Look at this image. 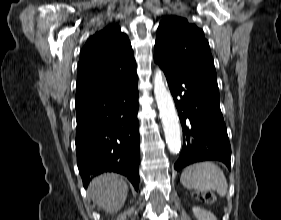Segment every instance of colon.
Masks as SVG:
<instances>
[{
    "mask_svg": "<svg viewBox=\"0 0 281 220\" xmlns=\"http://www.w3.org/2000/svg\"><path fill=\"white\" fill-rule=\"evenodd\" d=\"M196 197L205 203H213L216 201V196L210 191L197 193Z\"/></svg>",
    "mask_w": 281,
    "mask_h": 220,
    "instance_id": "1",
    "label": "colon"
}]
</instances>
